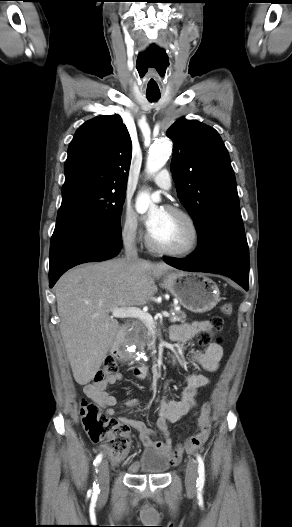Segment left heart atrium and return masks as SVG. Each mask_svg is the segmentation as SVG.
Returning a JSON list of instances; mask_svg holds the SVG:
<instances>
[{"mask_svg":"<svg viewBox=\"0 0 292 527\" xmlns=\"http://www.w3.org/2000/svg\"><path fill=\"white\" fill-rule=\"evenodd\" d=\"M162 211L163 210L161 209L154 210L145 217V225L149 231L152 230L159 222Z\"/></svg>","mask_w":292,"mask_h":527,"instance_id":"left-heart-atrium-1","label":"left heart atrium"}]
</instances>
